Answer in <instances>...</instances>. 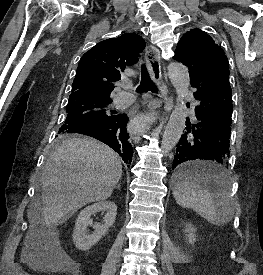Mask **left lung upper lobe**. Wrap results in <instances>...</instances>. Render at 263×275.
<instances>
[{
	"mask_svg": "<svg viewBox=\"0 0 263 275\" xmlns=\"http://www.w3.org/2000/svg\"><path fill=\"white\" fill-rule=\"evenodd\" d=\"M174 58L189 68L190 77L209 81L229 77V63L223 49L207 33L192 29L178 42Z\"/></svg>",
	"mask_w": 263,
	"mask_h": 275,
	"instance_id": "obj_1",
	"label": "left lung upper lobe"
}]
</instances>
